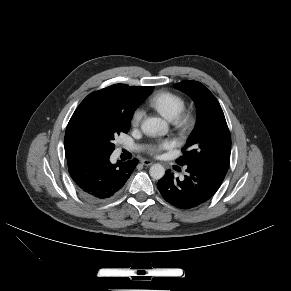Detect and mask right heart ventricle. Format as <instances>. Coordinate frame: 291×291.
I'll list each match as a JSON object with an SVG mask.
<instances>
[{
    "label": "right heart ventricle",
    "mask_w": 291,
    "mask_h": 291,
    "mask_svg": "<svg viewBox=\"0 0 291 291\" xmlns=\"http://www.w3.org/2000/svg\"><path fill=\"white\" fill-rule=\"evenodd\" d=\"M149 105L168 120H174L185 108L184 99L171 91H159L150 97Z\"/></svg>",
    "instance_id": "right-heart-ventricle-1"
}]
</instances>
